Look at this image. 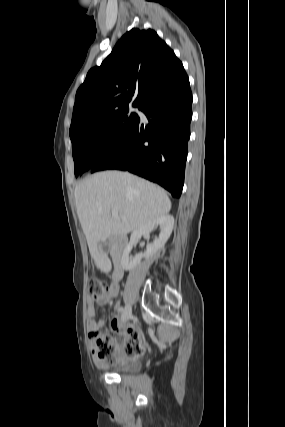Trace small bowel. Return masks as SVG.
Returning <instances> with one entry per match:
<instances>
[{
    "label": "small bowel",
    "mask_w": 285,
    "mask_h": 427,
    "mask_svg": "<svg viewBox=\"0 0 285 427\" xmlns=\"http://www.w3.org/2000/svg\"><path fill=\"white\" fill-rule=\"evenodd\" d=\"M113 281L110 283V285L108 286V290L101 294L98 298L96 299H89L88 300V310H87V331L89 333V335H91L92 332L99 330L100 328L106 326L107 321L100 317V318H96V306H100L103 307L105 306L112 298L116 297L118 295L119 292V285H118V279L117 277L113 276ZM115 310L120 311L121 307L119 304L115 305ZM110 325L111 328L113 329V331L119 335L123 341H117L115 340L113 342V349L115 352V360L114 361H109V360H105L100 358L99 354H98V350L96 349V346L94 344V342L91 344L92 345V351H93V355L95 358V362L98 366L101 367H105L109 364H124L125 360L123 358V351L124 348L127 346L128 344V340L130 339V337H132L133 335H136L138 338V333L135 330V328L133 326H122L120 323V320L117 316L112 317V319L110 320Z\"/></svg>",
    "instance_id": "c3829d8e"
}]
</instances>
